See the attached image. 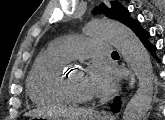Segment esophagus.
<instances>
[{"label": "esophagus", "mask_w": 165, "mask_h": 120, "mask_svg": "<svg viewBox=\"0 0 165 120\" xmlns=\"http://www.w3.org/2000/svg\"><path fill=\"white\" fill-rule=\"evenodd\" d=\"M129 79H130V86H133L135 83V77H134V74L132 72L130 73Z\"/></svg>", "instance_id": "obj_1"}]
</instances>
